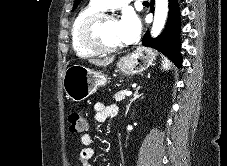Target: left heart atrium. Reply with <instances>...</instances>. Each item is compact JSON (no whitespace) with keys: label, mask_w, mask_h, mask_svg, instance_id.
I'll return each instance as SVG.
<instances>
[{"label":"left heart atrium","mask_w":227,"mask_h":166,"mask_svg":"<svg viewBox=\"0 0 227 166\" xmlns=\"http://www.w3.org/2000/svg\"><path fill=\"white\" fill-rule=\"evenodd\" d=\"M141 29V22L133 12H127L119 21L120 35L125 43L132 42L138 36Z\"/></svg>","instance_id":"1"}]
</instances>
